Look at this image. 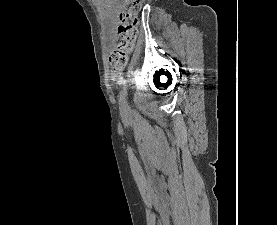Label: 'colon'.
I'll return each instance as SVG.
<instances>
[{"instance_id":"obj_1","label":"colon","mask_w":277,"mask_h":225,"mask_svg":"<svg viewBox=\"0 0 277 225\" xmlns=\"http://www.w3.org/2000/svg\"><path fill=\"white\" fill-rule=\"evenodd\" d=\"M141 5L142 0H125V10L119 14V40L109 56V64L115 73L123 71L133 52L138 35V14Z\"/></svg>"}]
</instances>
